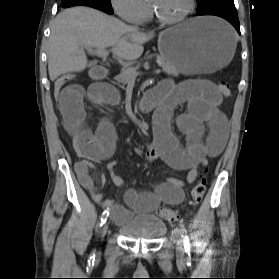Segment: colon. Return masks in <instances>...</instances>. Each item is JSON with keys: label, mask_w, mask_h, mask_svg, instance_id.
I'll return each instance as SVG.
<instances>
[{"label": "colon", "mask_w": 279, "mask_h": 279, "mask_svg": "<svg viewBox=\"0 0 279 279\" xmlns=\"http://www.w3.org/2000/svg\"><path fill=\"white\" fill-rule=\"evenodd\" d=\"M68 81H69V77L67 76H61L55 81L54 95L57 99L59 98L64 87L67 86ZM218 89L225 96H229L231 94V89L228 83L225 82L220 83L218 85ZM204 175H205V170H202L200 172V177L198 181L195 183V185L191 190V199L194 205L198 204L202 200L205 194L206 179ZM158 214L160 217H162L163 219L169 222H175L178 219V215L176 214V212L168 208L159 209Z\"/></svg>", "instance_id": "obj_1"}]
</instances>
